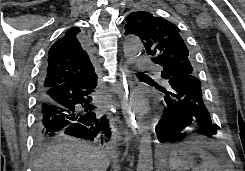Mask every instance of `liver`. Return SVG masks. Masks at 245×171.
I'll use <instances>...</instances> for the list:
<instances>
[{
	"mask_svg": "<svg viewBox=\"0 0 245 171\" xmlns=\"http://www.w3.org/2000/svg\"><path fill=\"white\" fill-rule=\"evenodd\" d=\"M34 161L33 171H106L107 155L97 147L61 134Z\"/></svg>",
	"mask_w": 245,
	"mask_h": 171,
	"instance_id": "1",
	"label": "liver"
}]
</instances>
